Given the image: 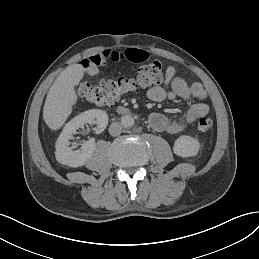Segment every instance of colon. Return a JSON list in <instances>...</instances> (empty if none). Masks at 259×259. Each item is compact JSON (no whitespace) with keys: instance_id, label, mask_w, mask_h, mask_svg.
<instances>
[{"instance_id":"colon-1","label":"colon","mask_w":259,"mask_h":259,"mask_svg":"<svg viewBox=\"0 0 259 259\" xmlns=\"http://www.w3.org/2000/svg\"><path fill=\"white\" fill-rule=\"evenodd\" d=\"M162 81V66L158 60H155L140 67L135 77L107 79L95 84L81 82L77 90L79 95L89 103L112 105L130 92L159 85ZM196 124L198 130L206 131L212 127L213 119L203 116L197 119Z\"/></svg>"}]
</instances>
